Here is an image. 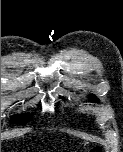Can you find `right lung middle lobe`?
I'll return each instance as SVG.
<instances>
[{
  "mask_svg": "<svg viewBox=\"0 0 123 152\" xmlns=\"http://www.w3.org/2000/svg\"><path fill=\"white\" fill-rule=\"evenodd\" d=\"M31 120V116L28 114H22L12 117L11 123L14 124H25Z\"/></svg>",
  "mask_w": 123,
  "mask_h": 152,
  "instance_id": "obj_1",
  "label": "right lung middle lobe"
}]
</instances>
